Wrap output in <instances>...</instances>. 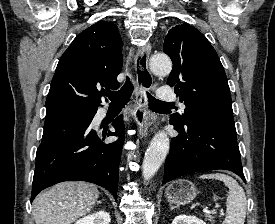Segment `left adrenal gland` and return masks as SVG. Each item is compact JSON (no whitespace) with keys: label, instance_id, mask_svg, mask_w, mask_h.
Wrapping results in <instances>:
<instances>
[{"label":"left adrenal gland","instance_id":"a2214340","mask_svg":"<svg viewBox=\"0 0 275 224\" xmlns=\"http://www.w3.org/2000/svg\"><path fill=\"white\" fill-rule=\"evenodd\" d=\"M173 209H175V207H174V206H171V207H170V211L173 210Z\"/></svg>","mask_w":275,"mask_h":224}]
</instances>
